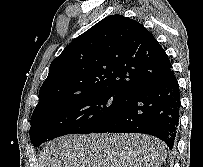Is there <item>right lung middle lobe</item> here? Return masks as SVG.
<instances>
[{"label": "right lung middle lobe", "instance_id": "dd1d6c3e", "mask_svg": "<svg viewBox=\"0 0 203 167\" xmlns=\"http://www.w3.org/2000/svg\"><path fill=\"white\" fill-rule=\"evenodd\" d=\"M126 101V96L111 91L64 99L34 111L30 139L42 143L67 134L92 133Z\"/></svg>", "mask_w": 203, "mask_h": 167}]
</instances>
